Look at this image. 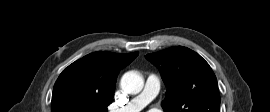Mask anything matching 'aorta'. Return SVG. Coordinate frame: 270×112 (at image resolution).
<instances>
[{"label": "aorta", "instance_id": "762f6f07", "mask_svg": "<svg viewBox=\"0 0 270 112\" xmlns=\"http://www.w3.org/2000/svg\"><path fill=\"white\" fill-rule=\"evenodd\" d=\"M121 88L128 94H138L144 85L142 76L134 71L125 73L120 81Z\"/></svg>", "mask_w": 270, "mask_h": 112}]
</instances>
